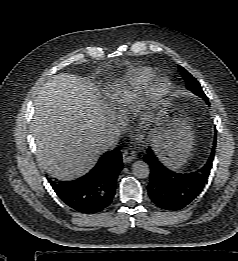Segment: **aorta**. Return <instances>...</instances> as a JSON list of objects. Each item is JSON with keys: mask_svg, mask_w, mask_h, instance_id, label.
I'll use <instances>...</instances> for the list:
<instances>
[{"mask_svg": "<svg viewBox=\"0 0 238 261\" xmlns=\"http://www.w3.org/2000/svg\"><path fill=\"white\" fill-rule=\"evenodd\" d=\"M132 173L134 176L140 179L147 178L149 176L150 170L146 162L142 160L135 161L132 164Z\"/></svg>", "mask_w": 238, "mask_h": 261, "instance_id": "obj_1", "label": "aorta"}]
</instances>
